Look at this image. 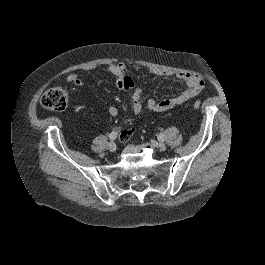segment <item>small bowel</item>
Masks as SVG:
<instances>
[{
	"label": "small bowel",
	"mask_w": 265,
	"mask_h": 265,
	"mask_svg": "<svg viewBox=\"0 0 265 265\" xmlns=\"http://www.w3.org/2000/svg\"><path fill=\"white\" fill-rule=\"evenodd\" d=\"M130 66L125 62H120L117 64H109L104 68V71L108 73L116 82V86L119 90L128 91L133 90L131 102L132 110L135 114H139L143 109V93L139 88L135 87L134 81L132 78L126 75V71ZM131 68L135 71L140 69V65L133 64ZM94 66L84 67L83 71H92ZM149 72L157 76H167L175 77L179 80H182L186 83V88L179 93L178 95L170 98H165L162 100L148 99L146 101V110L150 113L154 112H165L171 110L188 100L196 97L204 88V79L194 73L179 71L171 72L161 69L150 68ZM68 83L74 84L75 86H82L83 80L81 74L71 73L66 77ZM108 113L112 117L118 115V108L114 105L108 106ZM133 134V130H125L120 134L122 140L128 139Z\"/></svg>",
	"instance_id": "small-bowel-1"
}]
</instances>
